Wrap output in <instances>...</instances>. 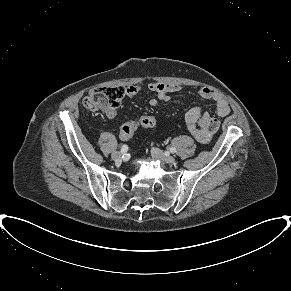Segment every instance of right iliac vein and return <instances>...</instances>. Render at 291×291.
Returning <instances> with one entry per match:
<instances>
[{
	"label": "right iliac vein",
	"mask_w": 291,
	"mask_h": 291,
	"mask_svg": "<svg viewBox=\"0 0 291 291\" xmlns=\"http://www.w3.org/2000/svg\"><path fill=\"white\" fill-rule=\"evenodd\" d=\"M111 157H112L113 160L118 161V160L122 159L123 153L119 152V151H115V152L112 153Z\"/></svg>",
	"instance_id": "right-iliac-vein-1"
}]
</instances>
